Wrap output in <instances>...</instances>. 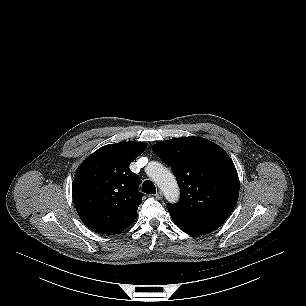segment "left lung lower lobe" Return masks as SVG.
<instances>
[{
    "mask_svg": "<svg viewBox=\"0 0 306 306\" xmlns=\"http://www.w3.org/2000/svg\"><path fill=\"white\" fill-rule=\"evenodd\" d=\"M173 221L175 224L185 231L186 233L190 235H202V234H207L209 232H212L214 229L213 228H206V227H199V226H194L182 221L177 220L176 218L172 217Z\"/></svg>",
    "mask_w": 306,
    "mask_h": 306,
    "instance_id": "obj_1",
    "label": "left lung lower lobe"
}]
</instances>
